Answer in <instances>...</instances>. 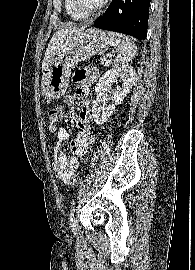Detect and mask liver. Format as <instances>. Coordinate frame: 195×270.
<instances>
[{
	"label": "liver",
	"instance_id": "liver-1",
	"mask_svg": "<svg viewBox=\"0 0 195 270\" xmlns=\"http://www.w3.org/2000/svg\"><path fill=\"white\" fill-rule=\"evenodd\" d=\"M85 30V27H77L69 24L55 32L46 49L45 56L42 62V70L44 71L49 63L53 61L62 47L63 39L66 36Z\"/></svg>",
	"mask_w": 195,
	"mask_h": 270
}]
</instances>
